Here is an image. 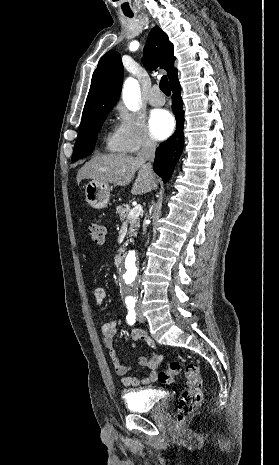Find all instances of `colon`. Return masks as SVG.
<instances>
[{"label":"colon","mask_w":279,"mask_h":465,"mask_svg":"<svg viewBox=\"0 0 279 465\" xmlns=\"http://www.w3.org/2000/svg\"><path fill=\"white\" fill-rule=\"evenodd\" d=\"M106 229L102 224H91L87 228V235L96 245L103 244ZM181 364L172 361L167 370L159 372L158 380L163 384L172 383L174 377L181 372ZM186 386L177 404L176 422L181 425L185 419L200 405L202 401V381L200 368L196 363H189L185 370Z\"/></svg>","instance_id":"5ec220e1"}]
</instances>
